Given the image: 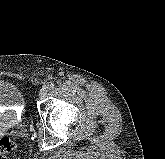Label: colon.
Here are the masks:
<instances>
[{"label":"colon","mask_w":165,"mask_h":159,"mask_svg":"<svg viewBox=\"0 0 165 159\" xmlns=\"http://www.w3.org/2000/svg\"><path fill=\"white\" fill-rule=\"evenodd\" d=\"M17 148V144L14 140L3 137L0 138V157H5Z\"/></svg>","instance_id":"colon-1"}]
</instances>
